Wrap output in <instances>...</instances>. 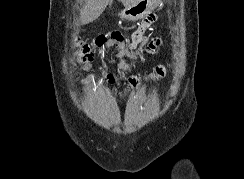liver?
Wrapping results in <instances>:
<instances>
[{"mask_svg":"<svg viewBox=\"0 0 244 179\" xmlns=\"http://www.w3.org/2000/svg\"><path fill=\"white\" fill-rule=\"evenodd\" d=\"M83 2V0H78ZM86 4L81 10V22L83 24H89L96 18H99L100 14L104 12L109 0H85Z\"/></svg>","mask_w":244,"mask_h":179,"instance_id":"liver-1","label":"liver"}]
</instances>
